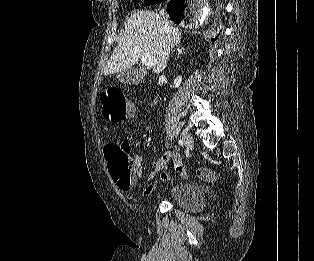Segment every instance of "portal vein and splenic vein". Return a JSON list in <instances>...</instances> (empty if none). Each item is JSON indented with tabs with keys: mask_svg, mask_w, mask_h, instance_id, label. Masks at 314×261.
Listing matches in <instances>:
<instances>
[{
	"mask_svg": "<svg viewBox=\"0 0 314 261\" xmlns=\"http://www.w3.org/2000/svg\"><path fill=\"white\" fill-rule=\"evenodd\" d=\"M141 62L143 65L148 66V67L155 66L156 64L155 58L150 54L143 55L141 58Z\"/></svg>",
	"mask_w": 314,
	"mask_h": 261,
	"instance_id": "1",
	"label": "portal vein and splenic vein"
}]
</instances>
